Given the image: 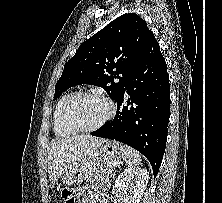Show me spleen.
<instances>
[{"label":"spleen","instance_id":"3e777b00","mask_svg":"<svg viewBox=\"0 0 222 203\" xmlns=\"http://www.w3.org/2000/svg\"><path fill=\"white\" fill-rule=\"evenodd\" d=\"M126 156H125V163L127 166H137L141 164V156L139 152L135 149L131 148L130 146H125Z\"/></svg>","mask_w":222,"mask_h":203}]
</instances>
